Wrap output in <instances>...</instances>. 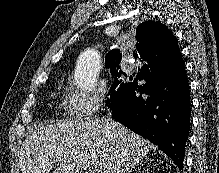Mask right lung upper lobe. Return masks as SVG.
Wrapping results in <instances>:
<instances>
[{"label":"right lung upper lobe","mask_w":219,"mask_h":173,"mask_svg":"<svg viewBox=\"0 0 219 173\" xmlns=\"http://www.w3.org/2000/svg\"><path fill=\"white\" fill-rule=\"evenodd\" d=\"M136 49L134 58L140 57L143 61L153 59L166 65H172L182 58L178 40L172 32L161 22L152 20L143 22L136 28ZM122 53L113 49L105 57L106 67L111 70L120 69Z\"/></svg>","instance_id":"right-lung-upper-lobe-1"}]
</instances>
